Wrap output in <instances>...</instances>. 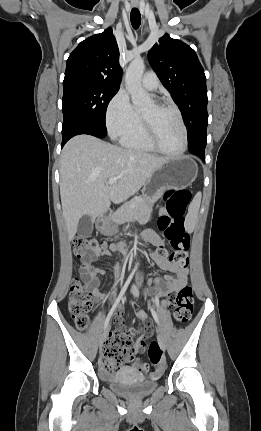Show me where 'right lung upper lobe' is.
Masks as SVG:
<instances>
[{
	"mask_svg": "<svg viewBox=\"0 0 261 431\" xmlns=\"http://www.w3.org/2000/svg\"><path fill=\"white\" fill-rule=\"evenodd\" d=\"M121 74L118 45L109 27L82 41L70 54L64 80L87 78L119 88Z\"/></svg>",
	"mask_w": 261,
	"mask_h": 431,
	"instance_id": "right-lung-upper-lobe-1",
	"label": "right lung upper lobe"
}]
</instances>
